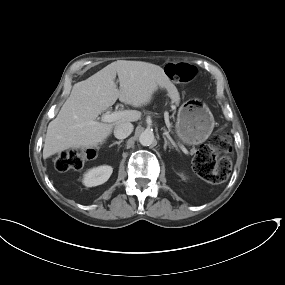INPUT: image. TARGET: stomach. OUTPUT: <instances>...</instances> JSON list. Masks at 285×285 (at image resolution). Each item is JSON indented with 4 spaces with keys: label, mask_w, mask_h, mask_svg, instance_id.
<instances>
[{
    "label": "stomach",
    "mask_w": 285,
    "mask_h": 285,
    "mask_svg": "<svg viewBox=\"0 0 285 285\" xmlns=\"http://www.w3.org/2000/svg\"><path fill=\"white\" fill-rule=\"evenodd\" d=\"M214 118L209 108L199 99L184 102L177 115L176 134L185 144L203 143L212 133Z\"/></svg>",
    "instance_id": "stomach-1"
}]
</instances>
